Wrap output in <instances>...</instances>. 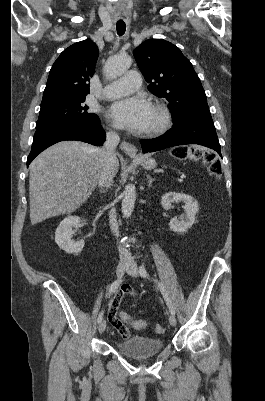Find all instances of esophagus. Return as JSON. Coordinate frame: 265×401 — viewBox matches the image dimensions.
I'll use <instances>...</instances> for the list:
<instances>
[{"instance_id":"1","label":"esophagus","mask_w":265,"mask_h":401,"mask_svg":"<svg viewBox=\"0 0 265 401\" xmlns=\"http://www.w3.org/2000/svg\"><path fill=\"white\" fill-rule=\"evenodd\" d=\"M120 148L128 156L131 157L137 156V148L134 145H131V143H128L127 141H122V143L120 144Z\"/></svg>"}]
</instances>
